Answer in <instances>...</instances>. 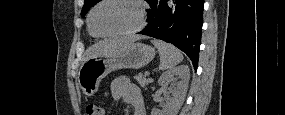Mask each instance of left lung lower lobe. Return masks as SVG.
<instances>
[{"mask_svg": "<svg viewBox=\"0 0 285 115\" xmlns=\"http://www.w3.org/2000/svg\"><path fill=\"white\" fill-rule=\"evenodd\" d=\"M148 25L139 34L172 43L191 59L195 70L199 59L203 25L202 0H147Z\"/></svg>", "mask_w": 285, "mask_h": 115, "instance_id": "left-lung-lower-lobe-1", "label": "left lung lower lobe"}]
</instances>
